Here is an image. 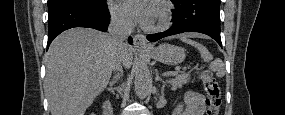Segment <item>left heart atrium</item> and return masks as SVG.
<instances>
[{
    "mask_svg": "<svg viewBox=\"0 0 285 115\" xmlns=\"http://www.w3.org/2000/svg\"><path fill=\"white\" fill-rule=\"evenodd\" d=\"M124 8L142 25H152L155 7L149 0H123Z\"/></svg>",
    "mask_w": 285,
    "mask_h": 115,
    "instance_id": "left-heart-atrium-1",
    "label": "left heart atrium"
}]
</instances>
